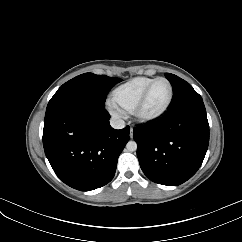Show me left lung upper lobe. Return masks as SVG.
<instances>
[{
    "mask_svg": "<svg viewBox=\"0 0 242 242\" xmlns=\"http://www.w3.org/2000/svg\"><path fill=\"white\" fill-rule=\"evenodd\" d=\"M165 76L173 88V98L169 109L187 102L202 100L201 96L185 80L171 73H166Z\"/></svg>",
    "mask_w": 242,
    "mask_h": 242,
    "instance_id": "5c2ea615",
    "label": "left lung upper lobe"
}]
</instances>
